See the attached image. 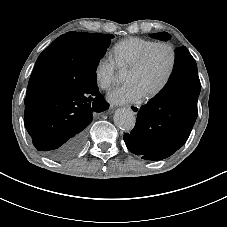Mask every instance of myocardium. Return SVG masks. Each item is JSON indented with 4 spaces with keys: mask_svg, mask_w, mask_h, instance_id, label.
<instances>
[{
    "mask_svg": "<svg viewBox=\"0 0 227 227\" xmlns=\"http://www.w3.org/2000/svg\"><path fill=\"white\" fill-rule=\"evenodd\" d=\"M159 48H165L169 52L170 61H169L167 72L162 82L154 90H152L149 94H147V97L150 99L155 98L165 90V88L168 86L174 74L176 64H177V53L174 45H172L169 42H156L145 52V54L130 69V71H133V72L142 71L149 63L155 51Z\"/></svg>",
    "mask_w": 227,
    "mask_h": 227,
    "instance_id": "obj_1",
    "label": "myocardium"
}]
</instances>
